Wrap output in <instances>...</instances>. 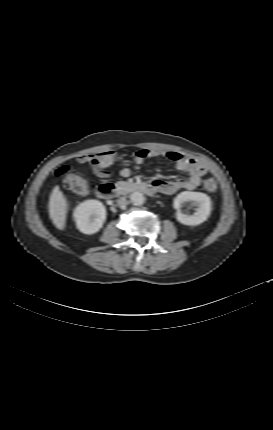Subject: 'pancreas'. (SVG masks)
Instances as JSON below:
<instances>
[{
	"instance_id": "pancreas-1",
	"label": "pancreas",
	"mask_w": 273,
	"mask_h": 430,
	"mask_svg": "<svg viewBox=\"0 0 273 430\" xmlns=\"http://www.w3.org/2000/svg\"><path fill=\"white\" fill-rule=\"evenodd\" d=\"M131 187V184L126 181H119L116 183V189L119 194H125Z\"/></svg>"
}]
</instances>
